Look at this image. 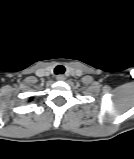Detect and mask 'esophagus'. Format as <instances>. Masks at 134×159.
<instances>
[{
	"label": "esophagus",
	"instance_id": "esophagus-1",
	"mask_svg": "<svg viewBox=\"0 0 134 159\" xmlns=\"http://www.w3.org/2000/svg\"><path fill=\"white\" fill-rule=\"evenodd\" d=\"M56 79H57L58 81H63V80H65V76L62 75V74H59V75L56 76Z\"/></svg>",
	"mask_w": 134,
	"mask_h": 159
}]
</instances>
